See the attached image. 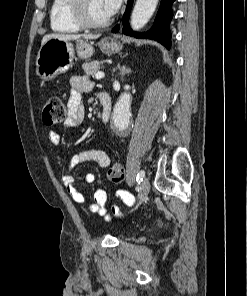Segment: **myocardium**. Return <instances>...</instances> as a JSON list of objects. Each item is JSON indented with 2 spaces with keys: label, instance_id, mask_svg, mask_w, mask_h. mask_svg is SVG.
<instances>
[{
  "label": "myocardium",
  "instance_id": "obj_1",
  "mask_svg": "<svg viewBox=\"0 0 247 296\" xmlns=\"http://www.w3.org/2000/svg\"><path fill=\"white\" fill-rule=\"evenodd\" d=\"M87 0H71L70 16L72 20L83 29H100L107 27L111 23L109 17L102 22H92L86 16L85 5Z\"/></svg>",
  "mask_w": 247,
  "mask_h": 296
}]
</instances>
